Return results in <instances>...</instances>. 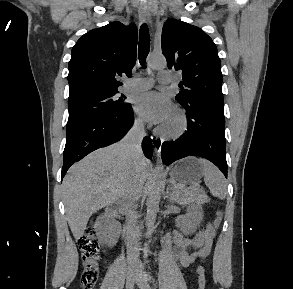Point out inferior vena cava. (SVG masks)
Masks as SVG:
<instances>
[{"instance_id": "obj_1", "label": "inferior vena cava", "mask_w": 293, "mask_h": 289, "mask_svg": "<svg viewBox=\"0 0 293 289\" xmlns=\"http://www.w3.org/2000/svg\"><path fill=\"white\" fill-rule=\"evenodd\" d=\"M144 124L141 121L135 122L133 127L124 137L122 144L126 152L133 157L135 170H137L143 156L141 143L144 138ZM142 182L138 174H133L128 180L122 198L123 206L127 209L126 224L128 232L127 253L130 263L137 264L138 241L140 233L137 226V214L135 212V203L141 196Z\"/></svg>"}]
</instances>
